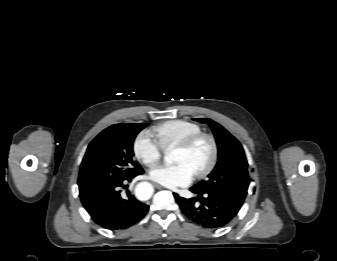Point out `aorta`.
<instances>
[{"instance_id": "aorta-1", "label": "aorta", "mask_w": 337, "mask_h": 261, "mask_svg": "<svg viewBox=\"0 0 337 261\" xmlns=\"http://www.w3.org/2000/svg\"><path fill=\"white\" fill-rule=\"evenodd\" d=\"M165 162L171 163L173 158L171 154L165 156ZM153 194V187L148 182H141L135 188V195L140 200H148Z\"/></svg>"}]
</instances>
